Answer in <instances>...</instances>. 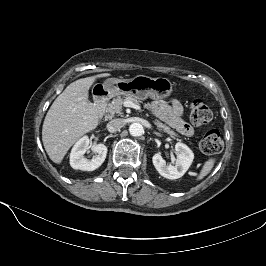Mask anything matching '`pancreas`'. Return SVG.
<instances>
[{
	"mask_svg": "<svg viewBox=\"0 0 266 266\" xmlns=\"http://www.w3.org/2000/svg\"><path fill=\"white\" fill-rule=\"evenodd\" d=\"M125 101H132L135 104H139L141 102L140 100L136 99L133 96H129V95L126 97L118 96V97L114 98L110 103L107 104L106 112L109 114L110 117H112L114 115H122L123 114L122 108H123V104ZM144 107L146 109H150L149 104H145ZM153 122L158 128L162 129L164 132H166L170 135H176L175 132L170 129V127L163 124L159 120L155 119Z\"/></svg>",
	"mask_w": 266,
	"mask_h": 266,
	"instance_id": "obj_1",
	"label": "pancreas"
}]
</instances>
